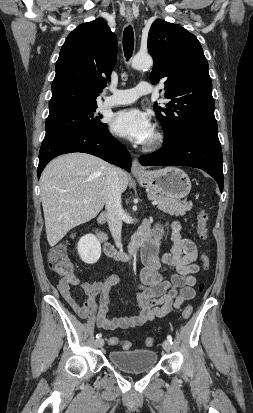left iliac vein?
Returning <instances> with one entry per match:
<instances>
[{"label":"left iliac vein","instance_id":"left-iliac-vein-1","mask_svg":"<svg viewBox=\"0 0 253 413\" xmlns=\"http://www.w3.org/2000/svg\"><path fill=\"white\" fill-rule=\"evenodd\" d=\"M162 346H163V349H164L166 352H169L170 349H171V345H170V342H169L168 340H165V341L163 342Z\"/></svg>","mask_w":253,"mask_h":413}]
</instances>
